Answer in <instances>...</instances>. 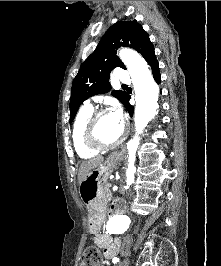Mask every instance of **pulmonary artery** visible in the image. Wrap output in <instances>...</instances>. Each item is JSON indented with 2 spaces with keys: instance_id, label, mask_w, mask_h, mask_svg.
<instances>
[{
  "instance_id": "1",
  "label": "pulmonary artery",
  "mask_w": 221,
  "mask_h": 266,
  "mask_svg": "<svg viewBox=\"0 0 221 266\" xmlns=\"http://www.w3.org/2000/svg\"><path fill=\"white\" fill-rule=\"evenodd\" d=\"M116 77L119 82L122 83L130 82L129 74L126 71H124V69L121 67L116 68ZM84 106L93 107V104L90 100H86L84 102Z\"/></svg>"
}]
</instances>
